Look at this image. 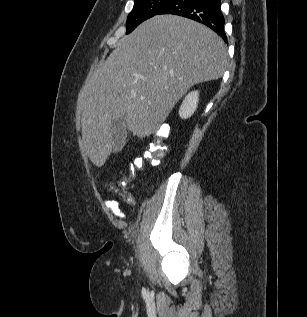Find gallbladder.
<instances>
[{
    "instance_id": "gallbladder-1",
    "label": "gallbladder",
    "mask_w": 307,
    "mask_h": 317,
    "mask_svg": "<svg viewBox=\"0 0 307 317\" xmlns=\"http://www.w3.org/2000/svg\"><path fill=\"white\" fill-rule=\"evenodd\" d=\"M126 121L121 117L113 122L111 129V144L113 152H119L126 143Z\"/></svg>"
}]
</instances>
